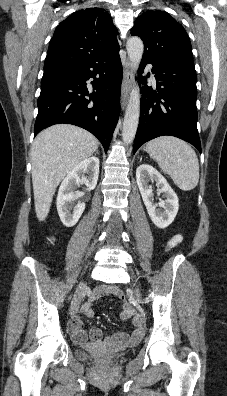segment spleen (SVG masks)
Wrapping results in <instances>:
<instances>
[{"instance_id": "spleen-1", "label": "spleen", "mask_w": 227, "mask_h": 396, "mask_svg": "<svg viewBox=\"0 0 227 396\" xmlns=\"http://www.w3.org/2000/svg\"><path fill=\"white\" fill-rule=\"evenodd\" d=\"M146 151L181 190L189 191L197 186L199 163L189 144L172 136H162L148 142Z\"/></svg>"}]
</instances>
